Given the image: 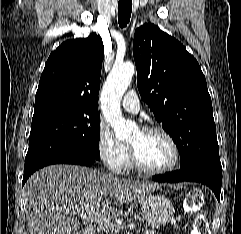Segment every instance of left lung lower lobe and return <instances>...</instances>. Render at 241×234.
<instances>
[{
	"label": "left lung lower lobe",
	"instance_id": "1",
	"mask_svg": "<svg viewBox=\"0 0 241 234\" xmlns=\"http://www.w3.org/2000/svg\"><path fill=\"white\" fill-rule=\"evenodd\" d=\"M152 179L158 182H182L194 181L207 185L220 200L222 184V167H215L210 164H197L189 168L175 172H168L164 175L153 176Z\"/></svg>",
	"mask_w": 241,
	"mask_h": 234
}]
</instances>
